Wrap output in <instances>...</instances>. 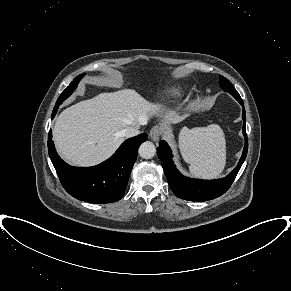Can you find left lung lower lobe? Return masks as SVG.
Wrapping results in <instances>:
<instances>
[{
	"mask_svg": "<svg viewBox=\"0 0 291 291\" xmlns=\"http://www.w3.org/2000/svg\"><path fill=\"white\" fill-rule=\"evenodd\" d=\"M235 98L244 107L241 97L237 96ZM242 119L243 134L245 138L244 150L237 167H235L228 176L222 179L200 180L185 177L177 170L172 160V152L168 144L165 141H160L159 147L157 148V154L162 161V167L168 184L177 197L188 201H206L221 196L230 188L246 158L248 151L246 113L244 109Z\"/></svg>",
	"mask_w": 291,
	"mask_h": 291,
	"instance_id": "left-lung-lower-lobe-1",
	"label": "left lung lower lobe"
}]
</instances>
